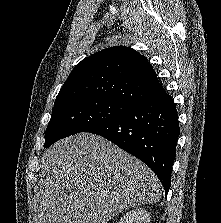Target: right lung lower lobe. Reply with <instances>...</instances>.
<instances>
[{
    "mask_svg": "<svg viewBox=\"0 0 221 223\" xmlns=\"http://www.w3.org/2000/svg\"><path fill=\"white\" fill-rule=\"evenodd\" d=\"M85 132L103 136L148 165L162 183L165 196L180 134L177 110L166 93L137 103L128 111Z\"/></svg>",
    "mask_w": 221,
    "mask_h": 223,
    "instance_id": "98d812e1",
    "label": "right lung lower lobe"
}]
</instances>
